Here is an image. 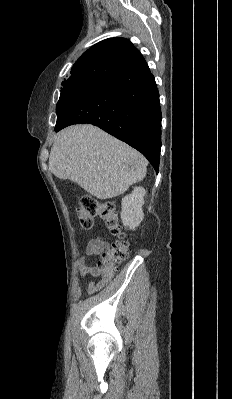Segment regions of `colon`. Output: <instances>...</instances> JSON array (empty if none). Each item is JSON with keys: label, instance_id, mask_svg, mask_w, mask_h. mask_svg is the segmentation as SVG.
Segmentation results:
<instances>
[{"label": "colon", "instance_id": "colon-1", "mask_svg": "<svg viewBox=\"0 0 232 399\" xmlns=\"http://www.w3.org/2000/svg\"><path fill=\"white\" fill-rule=\"evenodd\" d=\"M80 208L81 227H86V231H91L93 219L99 213L100 217L106 219V228L110 232H117V210H114L116 208L114 200H109V203H103V199L94 200L93 197H89V194H84V198H81ZM74 218H79V213H74ZM107 256L105 268L102 263H99L96 269L95 290H104V283H112L113 263L114 271H119V261L129 260V246H125V237H120V243L110 244L108 253L101 252L100 248L96 249L97 259ZM104 273L105 276H103Z\"/></svg>", "mask_w": 232, "mask_h": 399}]
</instances>
